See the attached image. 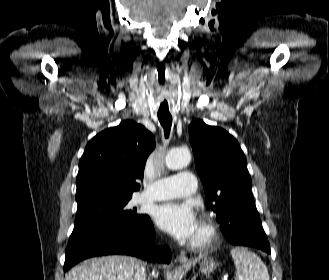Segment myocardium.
I'll return each mask as SVG.
<instances>
[{
    "label": "myocardium",
    "instance_id": "obj_1",
    "mask_svg": "<svg viewBox=\"0 0 329 280\" xmlns=\"http://www.w3.org/2000/svg\"><path fill=\"white\" fill-rule=\"evenodd\" d=\"M199 230V237L190 243V247L194 250L201 251L210 247L215 242L217 231L213 224L207 220L201 221Z\"/></svg>",
    "mask_w": 329,
    "mask_h": 280
}]
</instances>
